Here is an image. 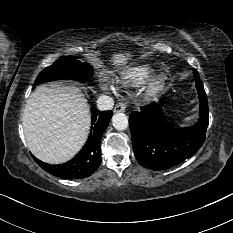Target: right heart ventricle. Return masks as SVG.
I'll return each instance as SVG.
<instances>
[{"label": "right heart ventricle", "mask_w": 233, "mask_h": 233, "mask_svg": "<svg viewBox=\"0 0 233 233\" xmlns=\"http://www.w3.org/2000/svg\"><path fill=\"white\" fill-rule=\"evenodd\" d=\"M153 73L154 70L148 65L131 67L123 73L119 82L127 87H138L146 83Z\"/></svg>", "instance_id": "right-heart-ventricle-1"}]
</instances>
